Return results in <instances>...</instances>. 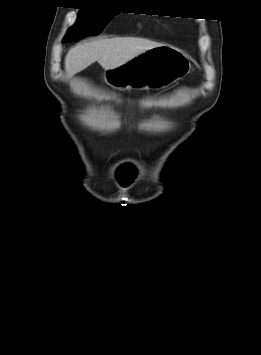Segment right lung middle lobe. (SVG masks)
<instances>
[{
  "mask_svg": "<svg viewBox=\"0 0 261 355\" xmlns=\"http://www.w3.org/2000/svg\"><path fill=\"white\" fill-rule=\"evenodd\" d=\"M115 14H118V12L81 8L77 22L68 30L65 41H74L89 35L99 34Z\"/></svg>",
  "mask_w": 261,
  "mask_h": 355,
  "instance_id": "right-lung-middle-lobe-1",
  "label": "right lung middle lobe"
}]
</instances>
